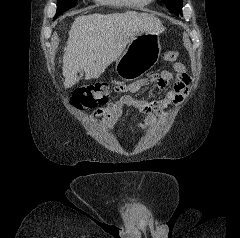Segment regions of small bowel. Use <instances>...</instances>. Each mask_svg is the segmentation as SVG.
I'll return each mask as SVG.
<instances>
[{
    "label": "small bowel",
    "instance_id": "small-bowel-1",
    "mask_svg": "<svg viewBox=\"0 0 240 238\" xmlns=\"http://www.w3.org/2000/svg\"><path fill=\"white\" fill-rule=\"evenodd\" d=\"M172 80H174V84L170 86ZM153 82H156L157 87L160 89L168 88L162 99L147 102L133 96L142 87ZM190 84L191 79L186 67L180 62H176L173 64L171 71L165 70L157 76L140 79L129 85H116L115 91L124 93L125 95L119 100L110 102L105 107L97 109L94 112V116L102 118L109 128H113L123 114L124 108L133 107L138 112L146 114L144 122L137 124L134 130L153 128L156 126L158 119L163 117L165 110L170 105H178L183 101L188 93Z\"/></svg>",
    "mask_w": 240,
    "mask_h": 238
}]
</instances>
